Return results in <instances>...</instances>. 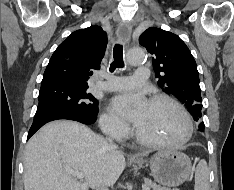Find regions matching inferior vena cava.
Listing matches in <instances>:
<instances>
[{
  "instance_id": "obj_1",
  "label": "inferior vena cava",
  "mask_w": 234,
  "mask_h": 190,
  "mask_svg": "<svg viewBox=\"0 0 234 190\" xmlns=\"http://www.w3.org/2000/svg\"><path fill=\"white\" fill-rule=\"evenodd\" d=\"M108 141H109L110 147H111L112 149L115 150V149L118 148V146L115 145V144L113 143L112 139L108 138ZM95 189H96V190H108V186L105 185L104 183H100V184H98V185L95 187Z\"/></svg>"
}]
</instances>
